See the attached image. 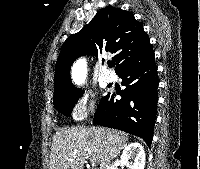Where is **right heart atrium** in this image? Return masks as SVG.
I'll return each mask as SVG.
<instances>
[{"instance_id":"d8ad5b80","label":"right heart atrium","mask_w":200,"mask_h":169,"mask_svg":"<svg viewBox=\"0 0 200 169\" xmlns=\"http://www.w3.org/2000/svg\"><path fill=\"white\" fill-rule=\"evenodd\" d=\"M97 109V101L95 94L92 92L79 93L71 109V117L74 121H83L87 117L93 115Z\"/></svg>"}]
</instances>
